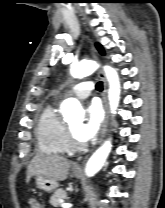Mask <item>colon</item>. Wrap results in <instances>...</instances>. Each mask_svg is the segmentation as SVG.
Listing matches in <instances>:
<instances>
[{
    "mask_svg": "<svg viewBox=\"0 0 165 208\" xmlns=\"http://www.w3.org/2000/svg\"><path fill=\"white\" fill-rule=\"evenodd\" d=\"M29 208H43L41 201L35 197H32L28 201Z\"/></svg>",
    "mask_w": 165,
    "mask_h": 208,
    "instance_id": "colon-1",
    "label": "colon"
}]
</instances>
